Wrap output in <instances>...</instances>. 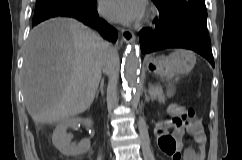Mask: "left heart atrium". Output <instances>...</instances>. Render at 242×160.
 I'll use <instances>...</instances> for the list:
<instances>
[{
  "instance_id": "1",
  "label": "left heart atrium",
  "mask_w": 242,
  "mask_h": 160,
  "mask_svg": "<svg viewBox=\"0 0 242 160\" xmlns=\"http://www.w3.org/2000/svg\"><path fill=\"white\" fill-rule=\"evenodd\" d=\"M100 9L112 21L131 23L143 16L145 0H102Z\"/></svg>"
}]
</instances>
